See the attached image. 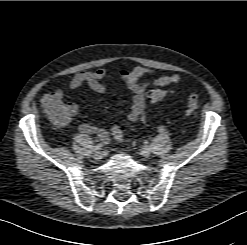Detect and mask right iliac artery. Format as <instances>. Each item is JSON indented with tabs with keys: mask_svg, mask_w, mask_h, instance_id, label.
<instances>
[{
	"mask_svg": "<svg viewBox=\"0 0 247 245\" xmlns=\"http://www.w3.org/2000/svg\"><path fill=\"white\" fill-rule=\"evenodd\" d=\"M102 148V144L98 143L95 147H94V151H98Z\"/></svg>",
	"mask_w": 247,
	"mask_h": 245,
	"instance_id": "1",
	"label": "right iliac artery"
}]
</instances>
